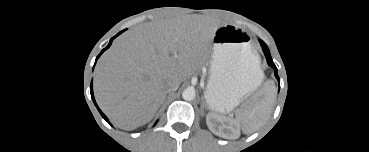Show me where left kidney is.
I'll list each match as a JSON object with an SVG mask.
<instances>
[{
  "mask_svg": "<svg viewBox=\"0 0 369 152\" xmlns=\"http://www.w3.org/2000/svg\"><path fill=\"white\" fill-rule=\"evenodd\" d=\"M206 123L210 131L219 137L227 139L239 137V126L234 120L208 113Z\"/></svg>",
  "mask_w": 369,
  "mask_h": 152,
  "instance_id": "5707ae66",
  "label": "left kidney"
}]
</instances>
